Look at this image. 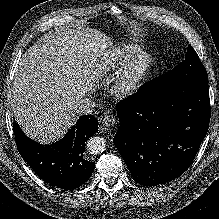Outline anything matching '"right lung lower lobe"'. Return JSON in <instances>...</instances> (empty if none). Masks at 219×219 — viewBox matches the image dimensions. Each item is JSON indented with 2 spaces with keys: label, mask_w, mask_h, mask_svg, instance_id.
<instances>
[{
  "label": "right lung lower lobe",
  "mask_w": 219,
  "mask_h": 219,
  "mask_svg": "<svg viewBox=\"0 0 219 219\" xmlns=\"http://www.w3.org/2000/svg\"><path fill=\"white\" fill-rule=\"evenodd\" d=\"M13 131L20 155L45 182L62 189H74L90 178L95 162L88 161L83 153L85 142L98 131L93 115L81 116L64 138L51 145L31 140L16 122Z\"/></svg>",
  "instance_id": "right-lung-lower-lobe-1"
}]
</instances>
